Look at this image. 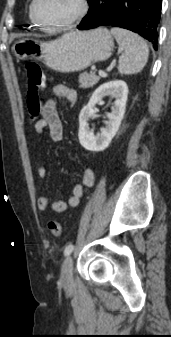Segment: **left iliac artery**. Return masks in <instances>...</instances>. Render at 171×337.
I'll return each mask as SVG.
<instances>
[{
	"mask_svg": "<svg viewBox=\"0 0 171 337\" xmlns=\"http://www.w3.org/2000/svg\"><path fill=\"white\" fill-rule=\"evenodd\" d=\"M73 249H74V245L73 244L67 245L66 248H65V250H64V255L65 256L70 255L72 253Z\"/></svg>",
	"mask_w": 171,
	"mask_h": 337,
	"instance_id": "obj_1",
	"label": "left iliac artery"
}]
</instances>
